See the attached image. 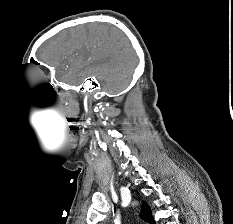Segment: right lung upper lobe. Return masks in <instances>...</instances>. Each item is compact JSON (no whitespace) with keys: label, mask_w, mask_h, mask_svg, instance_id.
I'll return each mask as SVG.
<instances>
[{"label":"right lung upper lobe","mask_w":233,"mask_h":224,"mask_svg":"<svg viewBox=\"0 0 233 224\" xmlns=\"http://www.w3.org/2000/svg\"><path fill=\"white\" fill-rule=\"evenodd\" d=\"M141 207H142V211H141L140 217L144 221L148 222L149 224H155V221H154V219L152 217L151 210L147 206V204L145 202H143V205Z\"/></svg>","instance_id":"right-lung-upper-lobe-1"}]
</instances>
